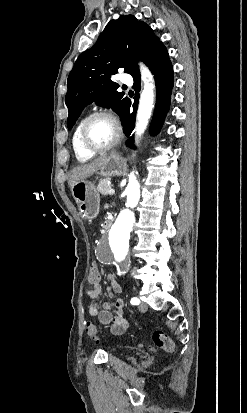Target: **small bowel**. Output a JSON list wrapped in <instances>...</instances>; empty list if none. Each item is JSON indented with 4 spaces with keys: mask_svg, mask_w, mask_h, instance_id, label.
<instances>
[{
    "mask_svg": "<svg viewBox=\"0 0 247 413\" xmlns=\"http://www.w3.org/2000/svg\"><path fill=\"white\" fill-rule=\"evenodd\" d=\"M121 292L122 286L115 278H112L106 287V293L111 300L100 307L97 301L101 295V285L99 289L86 290V297L89 300L88 314L98 317L101 324L110 325L111 331L114 334H122L128 328V321L123 311V301L121 299H114V295ZM112 309L115 311V316L112 315Z\"/></svg>",
    "mask_w": 247,
    "mask_h": 413,
    "instance_id": "small-bowel-1",
    "label": "small bowel"
}]
</instances>
